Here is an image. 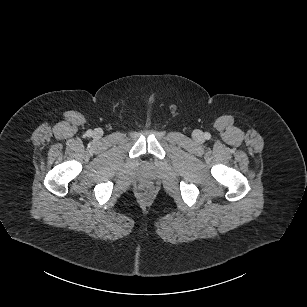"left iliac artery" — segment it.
<instances>
[{"label": "left iliac artery", "mask_w": 307, "mask_h": 307, "mask_svg": "<svg viewBox=\"0 0 307 307\" xmlns=\"http://www.w3.org/2000/svg\"><path fill=\"white\" fill-rule=\"evenodd\" d=\"M205 139H210L211 135L209 133H205Z\"/></svg>", "instance_id": "left-iliac-artery-1"}]
</instances>
